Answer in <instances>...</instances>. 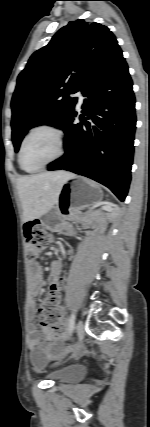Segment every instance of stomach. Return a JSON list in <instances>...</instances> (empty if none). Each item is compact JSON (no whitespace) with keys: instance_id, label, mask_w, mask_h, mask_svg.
<instances>
[{"instance_id":"0dacf381","label":"stomach","mask_w":150,"mask_h":427,"mask_svg":"<svg viewBox=\"0 0 150 427\" xmlns=\"http://www.w3.org/2000/svg\"><path fill=\"white\" fill-rule=\"evenodd\" d=\"M65 182L54 206L57 217L69 220L85 208L97 204L102 199V190L93 182L79 177Z\"/></svg>"}]
</instances>
